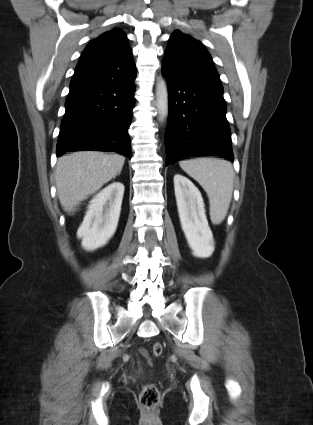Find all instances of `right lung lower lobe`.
Masks as SVG:
<instances>
[{"label": "right lung lower lobe", "instance_id": "98d812e1", "mask_svg": "<svg viewBox=\"0 0 313 425\" xmlns=\"http://www.w3.org/2000/svg\"><path fill=\"white\" fill-rule=\"evenodd\" d=\"M135 64L78 65L65 102L57 157L70 151H113L130 157Z\"/></svg>", "mask_w": 313, "mask_h": 425}]
</instances>
